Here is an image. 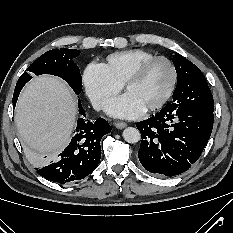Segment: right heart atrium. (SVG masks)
<instances>
[{
	"mask_svg": "<svg viewBox=\"0 0 233 233\" xmlns=\"http://www.w3.org/2000/svg\"><path fill=\"white\" fill-rule=\"evenodd\" d=\"M82 80L85 92L97 110L104 109L122 87L111 77L106 67L98 63H90L86 66Z\"/></svg>",
	"mask_w": 233,
	"mask_h": 233,
	"instance_id": "d8ad5b80",
	"label": "right heart atrium"
}]
</instances>
